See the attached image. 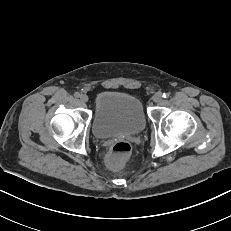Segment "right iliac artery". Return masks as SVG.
<instances>
[{
    "label": "right iliac artery",
    "instance_id": "82829eb1",
    "mask_svg": "<svg viewBox=\"0 0 231 231\" xmlns=\"http://www.w3.org/2000/svg\"><path fill=\"white\" fill-rule=\"evenodd\" d=\"M74 96L78 98V97H80V93L79 92H75Z\"/></svg>",
    "mask_w": 231,
    "mask_h": 231
}]
</instances>
